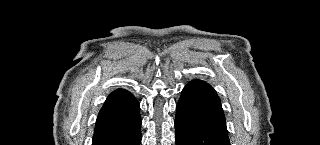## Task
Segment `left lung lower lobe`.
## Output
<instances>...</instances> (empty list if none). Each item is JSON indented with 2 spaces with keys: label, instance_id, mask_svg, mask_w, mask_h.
I'll use <instances>...</instances> for the list:
<instances>
[{
  "label": "left lung lower lobe",
  "instance_id": "0a47b994",
  "mask_svg": "<svg viewBox=\"0 0 320 145\" xmlns=\"http://www.w3.org/2000/svg\"><path fill=\"white\" fill-rule=\"evenodd\" d=\"M175 140L176 145H230L221 101L208 83L194 80L182 90Z\"/></svg>",
  "mask_w": 320,
  "mask_h": 145
}]
</instances>
